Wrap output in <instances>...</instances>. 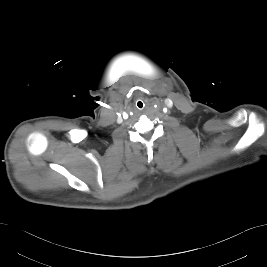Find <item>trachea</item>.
<instances>
[{"instance_id": "3493384b", "label": "trachea", "mask_w": 267, "mask_h": 267, "mask_svg": "<svg viewBox=\"0 0 267 267\" xmlns=\"http://www.w3.org/2000/svg\"><path fill=\"white\" fill-rule=\"evenodd\" d=\"M137 105H138L139 108H142L143 107V103L142 102H138Z\"/></svg>"}]
</instances>
